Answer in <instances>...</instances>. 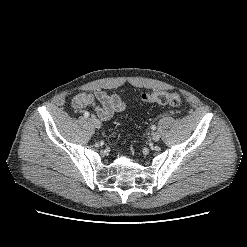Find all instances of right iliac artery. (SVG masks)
<instances>
[{
	"instance_id": "1",
	"label": "right iliac artery",
	"mask_w": 247,
	"mask_h": 247,
	"mask_svg": "<svg viewBox=\"0 0 247 247\" xmlns=\"http://www.w3.org/2000/svg\"><path fill=\"white\" fill-rule=\"evenodd\" d=\"M89 115H90L89 112H87V111L84 112V116H85V117H89Z\"/></svg>"
}]
</instances>
